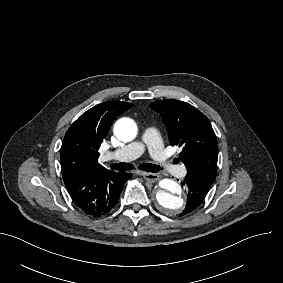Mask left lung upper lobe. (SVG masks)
Instances as JSON below:
<instances>
[{"label":"left lung upper lobe","instance_id":"1","mask_svg":"<svg viewBox=\"0 0 283 283\" xmlns=\"http://www.w3.org/2000/svg\"><path fill=\"white\" fill-rule=\"evenodd\" d=\"M150 107L163 117L170 143L183 148L180 159L188 172L216 175L218 144L207 117L192 105L174 99L157 100Z\"/></svg>","mask_w":283,"mask_h":283}]
</instances>
